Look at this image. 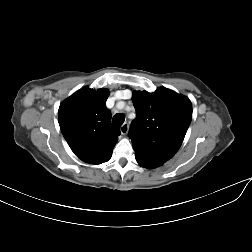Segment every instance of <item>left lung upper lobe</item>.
Listing matches in <instances>:
<instances>
[{
	"instance_id": "5c2ea615",
	"label": "left lung upper lobe",
	"mask_w": 252,
	"mask_h": 252,
	"mask_svg": "<svg viewBox=\"0 0 252 252\" xmlns=\"http://www.w3.org/2000/svg\"><path fill=\"white\" fill-rule=\"evenodd\" d=\"M136 118L129 137L135 152L166 162L180 148L192 119L191 101L165 87L133 92Z\"/></svg>"
}]
</instances>
